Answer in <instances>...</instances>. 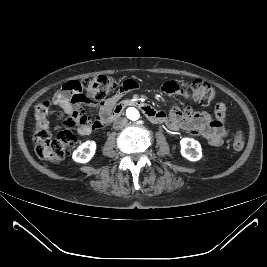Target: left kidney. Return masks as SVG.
Segmentation results:
<instances>
[{
	"label": "left kidney",
	"instance_id": "obj_1",
	"mask_svg": "<svg viewBox=\"0 0 267 267\" xmlns=\"http://www.w3.org/2000/svg\"><path fill=\"white\" fill-rule=\"evenodd\" d=\"M181 154L189 161H198L202 157L201 145L193 138H182L180 141Z\"/></svg>",
	"mask_w": 267,
	"mask_h": 267
}]
</instances>
